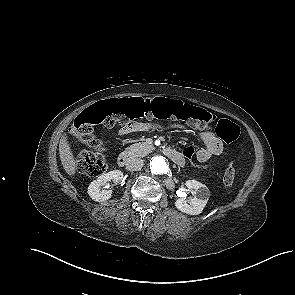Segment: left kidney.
<instances>
[{
	"label": "left kidney",
	"instance_id": "left-kidney-1",
	"mask_svg": "<svg viewBox=\"0 0 295 295\" xmlns=\"http://www.w3.org/2000/svg\"><path fill=\"white\" fill-rule=\"evenodd\" d=\"M186 186L189 190L193 189L195 191V196L190 199H186L184 197L179 198L175 202V206L183 213L198 215L203 211L205 205L207 204L210 197V191L206 185L196 180L186 181Z\"/></svg>",
	"mask_w": 295,
	"mask_h": 295
}]
</instances>
